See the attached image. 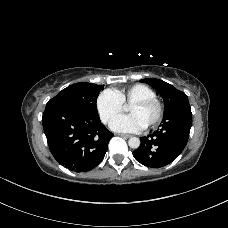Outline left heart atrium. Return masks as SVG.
<instances>
[{
  "label": "left heart atrium",
  "instance_id": "obj_1",
  "mask_svg": "<svg viewBox=\"0 0 228 228\" xmlns=\"http://www.w3.org/2000/svg\"><path fill=\"white\" fill-rule=\"evenodd\" d=\"M110 128L116 132L137 133L146 128L145 124L136 115H121L112 119Z\"/></svg>",
  "mask_w": 228,
  "mask_h": 228
}]
</instances>
